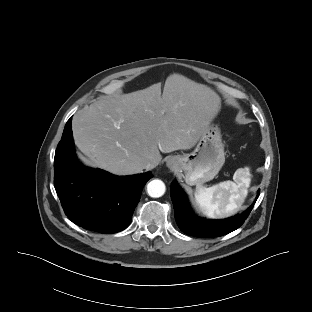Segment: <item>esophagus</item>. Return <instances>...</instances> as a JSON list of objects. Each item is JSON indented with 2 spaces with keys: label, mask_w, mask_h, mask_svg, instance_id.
<instances>
[{
  "label": "esophagus",
  "mask_w": 312,
  "mask_h": 312,
  "mask_svg": "<svg viewBox=\"0 0 312 312\" xmlns=\"http://www.w3.org/2000/svg\"><path fill=\"white\" fill-rule=\"evenodd\" d=\"M166 165L168 168H170L171 170H174L176 167V161L174 158H169L166 162Z\"/></svg>",
  "instance_id": "1"
}]
</instances>
